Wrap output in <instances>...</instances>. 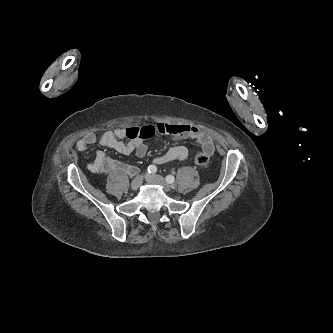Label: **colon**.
Masks as SVG:
<instances>
[{
    "label": "colon",
    "instance_id": "colon-1",
    "mask_svg": "<svg viewBox=\"0 0 333 333\" xmlns=\"http://www.w3.org/2000/svg\"><path fill=\"white\" fill-rule=\"evenodd\" d=\"M194 161L196 165L203 167L209 163V156L203 152H198L194 157Z\"/></svg>",
    "mask_w": 333,
    "mask_h": 333
}]
</instances>
